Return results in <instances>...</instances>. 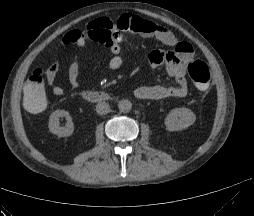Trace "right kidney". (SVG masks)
I'll use <instances>...</instances> for the list:
<instances>
[{"label": "right kidney", "mask_w": 254, "mask_h": 216, "mask_svg": "<svg viewBox=\"0 0 254 216\" xmlns=\"http://www.w3.org/2000/svg\"><path fill=\"white\" fill-rule=\"evenodd\" d=\"M65 117L67 119V126H59V118ZM49 131L58 137H67L74 132V126L71 121V116L68 111L65 110H56L50 115L49 119Z\"/></svg>", "instance_id": "1"}]
</instances>
